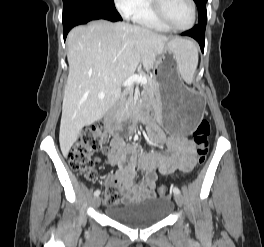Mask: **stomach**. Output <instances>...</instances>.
I'll use <instances>...</instances> for the list:
<instances>
[{"label":"stomach","mask_w":264,"mask_h":247,"mask_svg":"<svg viewBox=\"0 0 264 247\" xmlns=\"http://www.w3.org/2000/svg\"><path fill=\"white\" fill-rule=\"evenodd\" d=\"M167 48L173 51L172 44ZM177 57L172 53H163L156 63V82L159 88V98L163 108V123L166 131H172V136H191L201 118H204L205 94H190V90L180 81ZM175 81V82H174Z\"/></svg>","instance_id":"1"}]
</instances>
